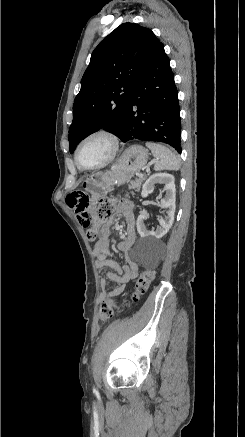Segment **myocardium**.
Instances as JSON below:
<instances>
[{
	"label": "myocardium",
	"instance_id": "myocardium-1",
	"mask_svg": "<svg viewBox=\"0 0 245 437\" xmlns=\"http://www.w3.org/2000/svg\"><path fill=\"white\" fill-rule=\"evenodd\" d=\"M98 136L104 137L110 141V143H111L110 154L108 155V157L104 161H102L99 164H96L93 166H85L79 160L80 148L82 147V145L86 141L90 140L91 138L98 137ZM120 146H121V140H120L119 136L114 131L109 130L107 128L95 129V130L89 132L88 134H86L78 142V144L75 148V151H74L75 162H76L77 166L82 170H95V169L103 168V167L107 166L108 164H110L117 157L119 150H120Z\"/></svg>",
	"mask_w": 245,
	"mask_h": 437
}]
</instances>
